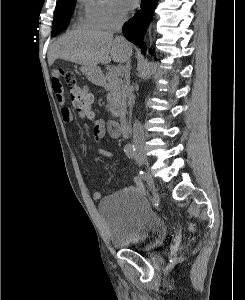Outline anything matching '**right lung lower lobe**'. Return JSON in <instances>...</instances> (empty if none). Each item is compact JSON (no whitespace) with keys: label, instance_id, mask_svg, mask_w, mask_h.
<instances>
[{"label":"right lung lower lobe","instance_id":"1","mask_svg":"<svg viewBox=\"0 0 245 300\" xmlns=\"http://www.w3.org/2000/svg\"><path fill=\"white\" fill-rule=\"evenodd\" d=\"M158 0H141V9L123 25L124 36L133 44L141 48L145 54L146 46L143 42L145 31L153 20V12Z\"/></svg>","mask_w":245,"mask_h":300}]
</instances>
